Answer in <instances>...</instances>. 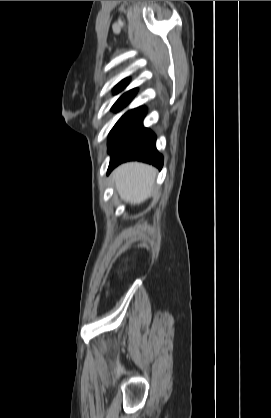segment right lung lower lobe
I'll use <instances>...</instances> for the list:
<instances>
[{
    "instance_id": "obj_1",
    "label": "right lung lower lobe",
    "mask_w": 271,
    "mask_h": 418,
    "mask_svg": "<svg viewBox=\"0 0 271 418\" xmlns=\"http://www.w3.org/2000/svg\"><path fill=\"white\" fill-rule=\"evenodd\" d=\"M142 119L138 120L119 135L109 146L111 155L108 174L120 163L138 160L150 163L161 169L163 156L156 149L155 134L143 127Z\"/></svg>"
}]
</instances>
